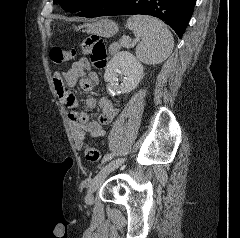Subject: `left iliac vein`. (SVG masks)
<instances>
[{"instance_id":"4c4485c4","label":"left iliac vein","mask_w":240,"mask_h":238,"mask_svg":"<svg viewBox=\"0 0 240 238\" xmlns=\"http://www.w3.org/2000/svg\"><path fill=\"white\" fill-rule=\"evenodd\" d=\"M125 158H118L116 160L111 161L106 166L102 167L97 175L94 177L92 182L89 185L88 193L86 196V203H93V193L100 187L105 178L116 168H118L122 163H124Z\"/></svg>"}]
</instances>
